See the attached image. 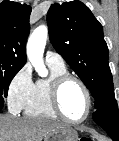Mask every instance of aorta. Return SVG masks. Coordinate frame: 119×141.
Masks as SVG:
<instances>
[{
  "label": "aorta",
  "instance_id": "obj_1",
  "mask_svg": "<svg viewBox=\"0 0 119 141\" xmlns=\"http://www.w3.org/2000/svg\"><path fill=\"white\" fill-rule=\"evenodd\" d=\"M47 37V26L41 25L32 32L27 42V57L41 77L47 75V70L43 63V54Z\"/></svg>",
  "mask_w": 119,
  "mask_h": 141
}]
</instances>
